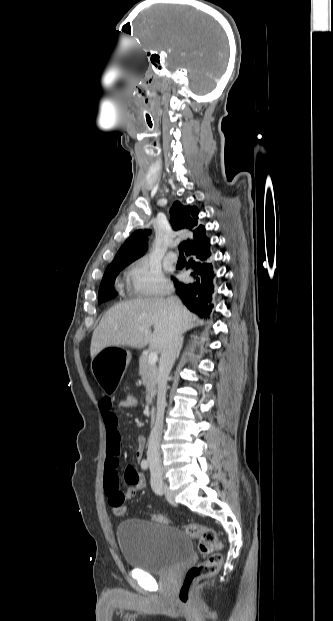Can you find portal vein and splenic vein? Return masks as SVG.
<instances>
[{
	"mask_svg": "<svg viewBox=\"0 0 333 621\" xmlns=\"http://www.w3.org/2000/svg\"><path fill=\"white\" fill-rule=\"evenodd\" d=\"M140 330H141V328H140ZM157 360H158L157 353H156V352H154V351H153V352H150V354H149V356H148V362H149V364L154 365V364H156Z\"/></svg>",
	"mask_w": 333,
	"mask_h": 621,
	"instance_id": "1",
	"label": "portal vein and splenic vein"
}]
</instances>
